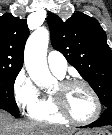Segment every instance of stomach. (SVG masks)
<instances>
[{
	"label": "stomach",
	"mask_w": 112,
	"mask_h": 135,
	"mask_svg": "<svg viewBox=\"0 0 112 135\" xmlns=\"http://www.w3.org/2000/svg\"><path fill=\"white\" fill-rule=\"evenodd\" d=\"M75 135H100L96 132H92V131H79L77 132ZM104 135V134H102Z\"/></svg>",
	"instance_id": "obj_1"
}]
</instances>
